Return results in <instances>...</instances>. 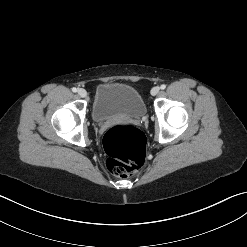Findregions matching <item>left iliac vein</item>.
Instances as JSON below:
<instances>
[{
	"instance_id": "left-iliac-vein-1",
	"label": "left iliac vein",
	"mask_w": 247,
	"mask_h": 247,
	"mask_svg": "<svg viewBox=\"0 0 247 247\" xmlns=\"http://www.w3.org/2000/svg\"><path fill=\"white\" fill-rule=\"evenodd\" d=\"M159 90H160V88L159 87H153L152 89H151V95H153V96H155V95H157L158 94V92H159Z\"/></svg>"
}]
</instances>
